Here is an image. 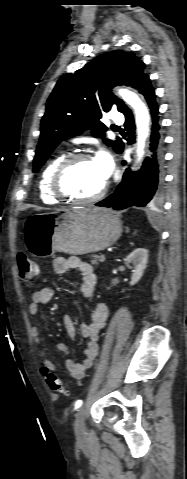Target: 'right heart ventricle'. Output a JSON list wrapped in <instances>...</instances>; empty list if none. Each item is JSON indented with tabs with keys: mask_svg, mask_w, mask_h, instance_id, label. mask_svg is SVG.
<instances>
[{
	"mask_svg": "<svg viewBox=\"0 0 187 479\" xmlns=\"http://www.w3.org/2000/svg\"><path fill=\"white\" fill-rule=\"evenodd\" d=\"M66 157L64 153H60L54 156L44 167L41 172L39 182H38V190L39 196L42 202L45 204H57L61 200L57 198L51 190V179L52 175L59 165V163Z\"/></svg>",
	"mask_w": 187,
	"mask_h": 479,
	"instance_id": "obj_1",
	"label": "right heart ventricle"
}]
</instances>
